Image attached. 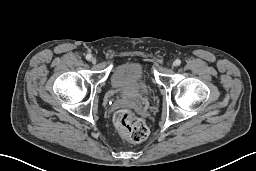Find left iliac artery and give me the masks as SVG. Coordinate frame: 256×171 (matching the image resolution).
<instances>
[{
    "label": "left iliac artery",
    "mask_w": 256,
    "mask_h": 171,
    "mask_svg": "<svg viewBox=\"0 0 256 171\" xmlns=\"http://www.w3.org/2000/svg\"><path fill=\"white\" fill-rule=\"evenodd\" d=\"M175 64H176L177 66H179V65L181 64V61H180L179 59H176V60H175Z\"/></svg>",
    "instance_id": "left-iliac-artery-1"
}]
</instances>
